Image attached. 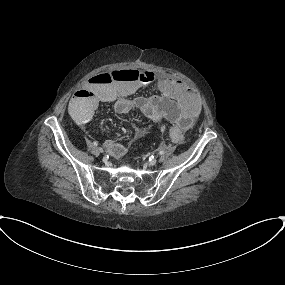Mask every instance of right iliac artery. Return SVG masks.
<instances>
[{"label": "right iliac artery", "instance_id": "82829eb1", "mask_svg": "<svg viewBox=\"0 0 285 285\" xmlns=\"http://www.w3.org/2000/svg\"><path fill=\"white\" fill-rule=\"evenodd\" d=\"M93 145L94 146H98V142L97 141H93Z\"/></svg>", "mask_w": 285, "mask_h": 285}]
</instances>
